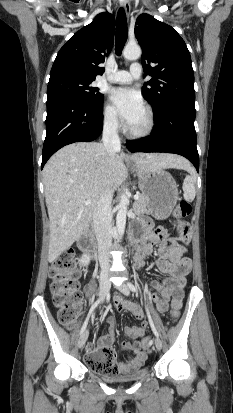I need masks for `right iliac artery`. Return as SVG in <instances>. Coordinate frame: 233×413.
Segmentation results:
<instances>
[{"mask_svg": "<svg viewBox=\"0 0 233 413\" xmlns=\"http://www.w3.org/2000/svg\"><path fill=\"white\" fill-rule=\"evenodd\" d=\"M102 299H103V297L99 298V299L91 306V308H90V310H89V313H88V316H87V318H86V320H85V322H84V324H83V326H82V328H81L80 334H82V333L85 331L90 316L93 315L95 308H96L97 305L102 301Z\"/></svg>", "mask_w": 233, "mask_h": 413, "instance_id": "1", "label": "right iliac artery"}]
</instances>
